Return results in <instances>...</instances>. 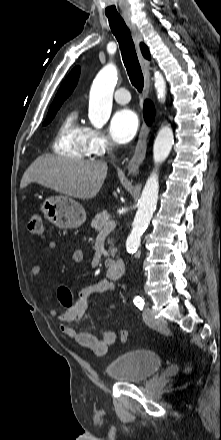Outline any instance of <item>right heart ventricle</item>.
<instances>
[{"label": "right heart ventricle", "instance_id": "1", "mask_svg": "<svg viewBox=\"0 0 221 440\" xmlns=\"http://www.w3.org/2000/svg\"><path fill=\"white\" fill-rule=\"evenodd\" d=\"M75 109L70 110L61 120L53 143L55 153L72 159L84 160L91 156L87 142L88 128L77 120Z\"/></svg>", "mask_w": 221, "mask_h": 440}]
</instances>
